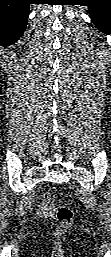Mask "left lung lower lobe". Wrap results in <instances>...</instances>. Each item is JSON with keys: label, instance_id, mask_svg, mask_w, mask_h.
Here are the masks:
<instances>
[{"label": "left lung lower lobe", "instance_id": "0a47b994", "mask_svg": "<svg viewBox=\"0 0 111 257\" xmlns=\"http://www.w3.org/2000/svg\"><path fill=\"white\" fill-rule=\"evenodd\" d=\"M88 6L95 27L106 34L111 33V0H93Z\"/></svg>", "mask_w": 111, "mask_h": 257}]
</instances>
